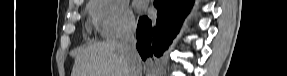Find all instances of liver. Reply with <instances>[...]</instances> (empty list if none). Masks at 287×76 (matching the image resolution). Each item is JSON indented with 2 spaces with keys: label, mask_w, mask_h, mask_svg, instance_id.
Returning <instances> with one entry per match:
<instances>
[{
  "label": "liver",
  "mask_w": 287,
  "mask_h": 76,
  "mask_svg": "<svg viewBox=\"0 0 287 76\" xmlns=\"http://www.w3.org/2000/svg\"><path fill=\"white\" fill-rule=\"evenodd\" d=\"M71 76H129L121 43L96 42L78 51Z\"/></svg>",
  "instance_id": "1"
}]
</instances>
